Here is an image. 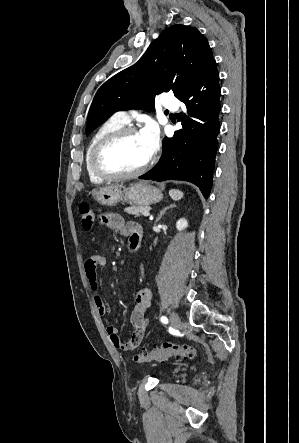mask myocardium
<instances>
[{
	"label": "myocardium",
	"mask_w": 299,
	"mask_h": 443,
	"mask_svg": "<svg viewBox=\"0 0 299 443\" xmlns=\"http://www.w3.org/2000/svg\"><path fill=\"white\" fill-rule=\"evenodd\" d=\"M132 134H139V131L134 127H122L109 133L96 144L91 156V166L97 176L104 180H125L143 174L150 167L152 156L142 166L127 172H114L104 166L102 156L106 149Z\"/></svg>",
	"instance_id": "obj_1"
}]
</instances>
